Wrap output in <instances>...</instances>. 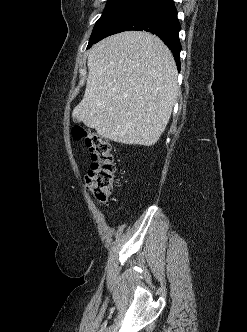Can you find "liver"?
Segmentation results:
<instances>
[{
	"label": "liver",
	"instance_id": "6515ba94",
	"mask_svg": "<svg viewBox=\"0 0 247 332\" xmlns=\"http://www.w3.org/2000/svg\"><path fill=\"white\" fill-rule=\"evenodd\" d=\"M177 68L169 48L145 31H126L95 44L88 78L73 117L103 138L154 145L178 95Z\"/></svg>",
	"mask_w": 247,
	"mask_h": 332
}]
</instances>
